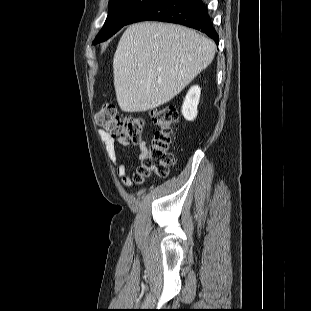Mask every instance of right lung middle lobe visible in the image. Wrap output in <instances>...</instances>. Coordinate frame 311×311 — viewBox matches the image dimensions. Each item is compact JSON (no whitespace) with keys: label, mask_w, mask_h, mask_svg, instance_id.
Masks as SVG:
<instances>
[{"label":"right lung middle lobe","mask_w":311,"mask_h":311,"mask_svg":"<svg viewBox=\"0 0 311 311\" xmlns=\"http://www.w3.org/2000/svg\"><path fill=\"white\" fill-rule=\"evenodd\" d=\"M154 0H110L109 12L105 24L93 44H97L109 39L142 8L146 7Z\"/></svg>","instance_id":"dd1d6c3e"}]
</instances>
